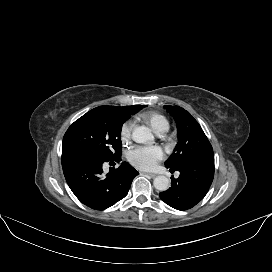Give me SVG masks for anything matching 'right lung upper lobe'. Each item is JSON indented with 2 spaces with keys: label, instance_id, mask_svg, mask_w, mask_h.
<instances>
[{
  "label": "right lung upper lobe",
  "instance_id": "right-lung-upper-lobe-1",
  "mask_svg": "<svg viewBox=\"0 0 272 272\" xmlns=\"http://www.w3.org/2000/svg\"><path fill=\"white\" fill-rule=\"evenodd\" d=\"M121 110L126 111V112H131V114L136 113L139 111L143 106L141 105H133V106H124V107H119Z\"/></svg>",
  "mask_w": 272,
  "mask_h": 272
}]
</instances>
